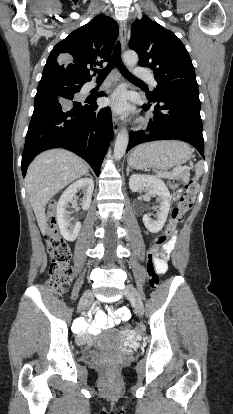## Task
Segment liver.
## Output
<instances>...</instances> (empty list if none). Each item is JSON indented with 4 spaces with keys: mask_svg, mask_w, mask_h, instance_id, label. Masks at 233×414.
<instances>
[{
    "mask_svg": "<svg viewBox=\"0 0 233 414\" xmlns=\"http://www.w3.org/2000/svg\"><path fill=\"white\" fill-rule=\"evenodd\" d=\"M87 172V163L64 149L45 151L29 165L25 187L42 233L46 231L45 206L48 201Z\"/></svg>",
    "mask_w": 233,
    "mask_h": 414,
    "instance_id": "liver-1",
    "label": "liver"
}]
</instances>
